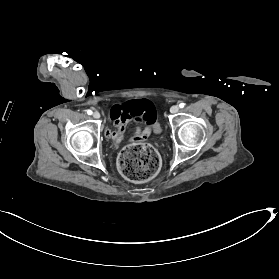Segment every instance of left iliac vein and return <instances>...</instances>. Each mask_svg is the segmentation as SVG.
I'll use <instances>...</instances> for the list:
<instances>
[{"label": "left iliac vein", "mask_w": 279, "mask_h": 279, "mask_svg": "<svg viewBox=\"0 0 279 279\" xmlns=\"http://www.w3.org/2000/svg\"><path fill=\"white\" fill-rule=\"evenodd\" d=\"M179 111V107L177 106V105H174V106H172L171 108H170V112L172 113V114H175V113H177Z\"/></svg>", "instance_id": "obj_1"}]
</instances>
